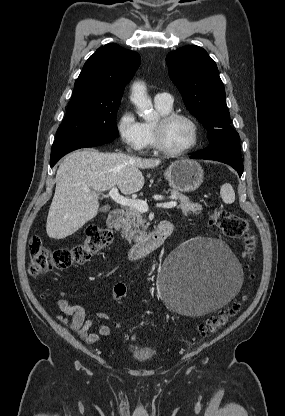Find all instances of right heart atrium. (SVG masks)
<instances>
[{"label":"right heart atrium","instance_id":"1","mask_svg":"<svg viewBox=\"0 0 285 416\" xmlns=\"http://www.w3.org/2000/svg\"><path fill=\"white\" fill-rule=\"evenodd\" d=\"M117 129L122 143L127 147L135 151H142L147 147V137L143 123L131 107L121 110Z\"/></svg>","mask_w":285,"mask_h":416}]
</instances>
